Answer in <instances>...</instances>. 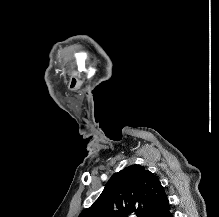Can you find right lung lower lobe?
Segmentation results:
<instances>
[{
  "mask_svg": "<svg viewBox=\"0 0 219 217\" xmlns=\"http://www.w3.org/2000/svg\"><path fill=\"white\" fill-rule=\"evenodd\" d=\"M162 217H173L172 213L168 209Z\"/></svg>",
  "mask_w": 219,
  "mask_h": 217,
  "instance_id": "obj_1",
  "label": "right lung lower lobe"
}]
</instances>
